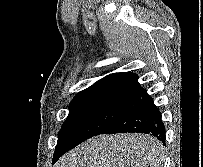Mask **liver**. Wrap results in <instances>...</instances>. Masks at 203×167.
<instances>
[{"instance_id":"obj_1","label":"liver","mask_w":203,"mask_h":167,"mask_svg":"<svg viewBox=\"0 0 203 167\" xmlns=\"http://www.w3.org/2000/svg\"><path fill=\"white\" fill-rule=\"evenodd\" d=\"M164 147L144 134L99 135L80 144L54 167H163Z\"/></svg>"}]
</instances>
